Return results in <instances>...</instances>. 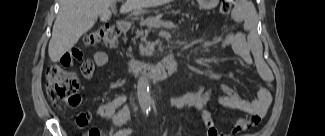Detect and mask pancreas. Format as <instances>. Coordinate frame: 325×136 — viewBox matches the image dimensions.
<instances>
[{
  "label": "pancreas",
  "mask_w": 325,
  "mask_h": 136,
  "mask_svg": "<svg viewBox=\"0 0 325 136\" xmlns=\"http://www.w3.org/2000/svg\"><path fill=\"white\" fill-rule=\"evenodd\" d=\"M167 18L168 19H173V22H176V19H177V22L178 24H185L186 23V19H190L191 18V13L190 12H180L179 11V7H175V9H167ZM137 27V28H136ZM135 28H133V33H135V37L138 36L139 38H144L145 36H151L150 34L149 35H144V33L142 32V24H137ZM137 33V35H136ZM150 47V46H149Z\"/></svg>",
  "instance_id": "1"
}]
</instances>
